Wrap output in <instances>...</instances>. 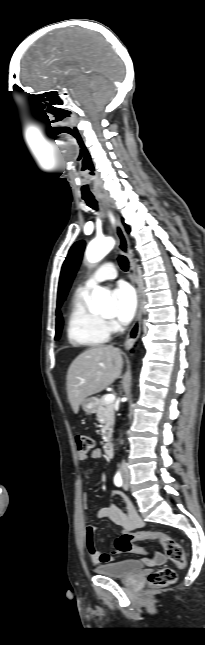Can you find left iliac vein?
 Segmentation results:
<instances>
[{
    "instance_id": "left-iliac-vein-1",
    "label": "left iliac vein",
    "mask_w": 205,
    "mask_h": 645,
    "mask_svg": "<svg viewBox=\"0 0 205 645\" xmlns=\"http://www.w3.org/2000/svg\"><path fill=\"white\" fill-rule=\"evenodd\" d=\"M123 488H124L125 490H128V489H129V476H128V474H127V475H125V477H124V481H123Z\"/></svg>"
}]
</instances>
